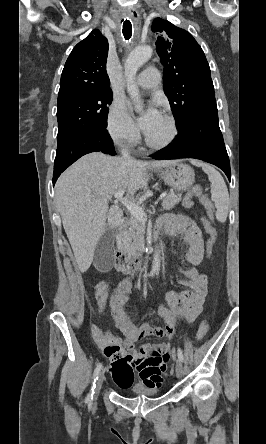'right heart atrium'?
I'll return each mask as SVG.
<instances>
[{
	"label": "right heart atrium",
	"instance_id": "obj_1",
	"mask_svg": "<svg viewBox=\"0 0 266 444\" xmlns=\"http://www.w3.org/2000/svg\"><path fill=\"white\" fill-rule=\"evenodd\" d=\"M107 130L117 144L132 145L138 140V127L124 101L114 100L110 106L107 115Z\"/></svg>",
	"mask_w": 266,
	"mask_h": 444
}]
</instances>
